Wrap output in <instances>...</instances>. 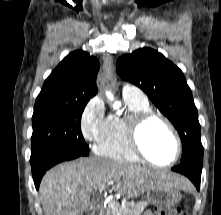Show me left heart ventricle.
Returning <instances> with one entry per match:
<instances>
[{
  "instance_id": "obj_1",
  "label": "left heart ventricle",
  "mask_w": 221,
  "mask_h": 215,
  "mask_svg": "<svg viewBox=\"0 0 221 215\" xmlns=\"http://www.w3.org/2000/svg\"><path fill=\"white\" fill-rule=\"evenodd\" d=\"M140 141L145 153L157 163H167L175 155L174 138L158 119H152L144 126Z\"/></svg>"
}]
</instances>
